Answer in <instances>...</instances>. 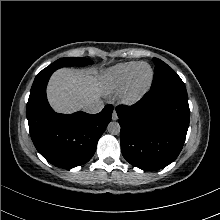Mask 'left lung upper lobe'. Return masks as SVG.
<instances>
[{"instance_id": "1", "label": "left lung upper lobe", "mask_w": 220, "mask_h": 220, "mask_svg": "<svg viewBox=\"0 0 220 220\" xmlns=\"http://www.w3.org/2000/svg\"><path fill=\"white\" fill-rule=\"evenodd\" d=\"M155 63L154 79L150 90L170 92L187 97L185 84L177 73L162 60L153 58Z\"/></svg>"}]
</instances>
